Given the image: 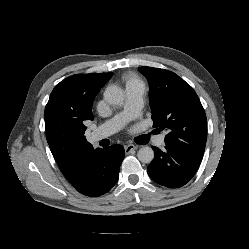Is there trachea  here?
I'll return each mask as SVG.
<instances>
[{"instance_id":"3493384b","label":"trachea","mask_w":249,"mask_h":249,"mask_svg":"<svg viewBox=\"0 0 249 249\" xmlns=\"http://www.w3.org/2000/svg\"><path fill=\"white\" fill-rule=\"evenodd\" d=\"M140 139H141V143L140 144H147L149 142V138L146 135H142L140 137Z\"/></svg>"}]
</instances>
